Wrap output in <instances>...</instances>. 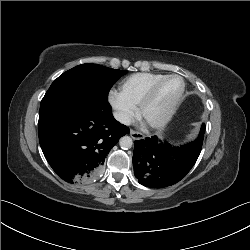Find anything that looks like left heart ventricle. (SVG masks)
Instances as JSON below:
<instances>
[{
    "label": "left heart ventricle",
    "mask_w": 250,
    "mask_h": 250,
    "mask_svg": "<svg viewBox=\"0 0 250 250\" xmlns=\"http://www.w3.org/2000/svg\"><path fill=\"white\" fill-rule=\"evenodd\" d=\"M182 88V82L173 78L164 82L158 89L154 100L148 106L145 117L155 121L162 117Z\"/></svg>",
    "instance_id": "left-heart-ventricle-1"
}]
</instances>
